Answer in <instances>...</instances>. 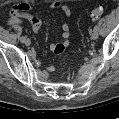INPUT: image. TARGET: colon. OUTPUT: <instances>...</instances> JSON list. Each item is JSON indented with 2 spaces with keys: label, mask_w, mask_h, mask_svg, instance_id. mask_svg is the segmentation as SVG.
I'll return each mask as SVG.
<instances>
[{
  "label": "colon",
  "mask_w": 119,
  "mask_h": 119,
  "mask_svg": "<svg viewBox=\"0 0 119 119\" xmlns=\"http://www.w3.org/2000/svg\"><path fill=\"white\" fill-rule=\"evenodd\" d=\"M104 12H105V7L102 5H99L91 11L90 16L92 20H98L104 15Z\"/></svg>",
  "instance_id": "colon-1"
}]
</instances>
